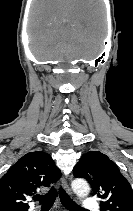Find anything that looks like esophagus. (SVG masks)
I'll use <instances>...</instances> for the list:
<instances>
[{
	"label": "esophagus",
	"instance_id": "1",
	"mask_svg": "<svg viewBox=\"0 0 133 211\" xmlns=\"http://www.w3.org/2000/svg\"><path fill=\"white\" fill-rule=\"evenodd\" d=\"M61 184H62V187L63 189L69 194V195H72V192L69 188V185L67 183V179L65 177H62V180H61Z\"/></svg>",
	"mask_w": 133,
	"mask_h": 211
}]
</instances>
